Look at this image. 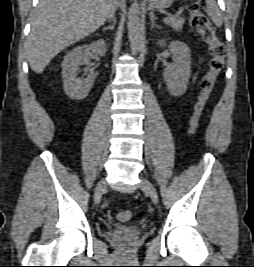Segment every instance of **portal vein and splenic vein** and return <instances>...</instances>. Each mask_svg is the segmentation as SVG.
<instances>
[{
  "mask_svg": "<svg viewBox=\"0 0 254 267\" xmlns=\"http://www.w3.org/2000/svg\"><path fill=\"white\" fill-rule=\"evenodd\" d=\"M172 18H173V15H172V14H168V15L163 19V21L166 22L167 20L172 19Z\"/></svg>",
  "mask_w": 254,
  "mask_h": 267,
  "instance_id": "18ae733b",
  "label": "portal vein and splenic vein"
}]
</instances>
